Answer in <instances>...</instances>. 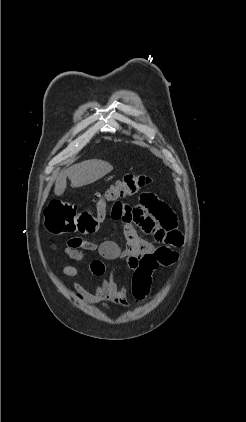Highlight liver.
<instances>
[{
  "instance_id": "obj_1",
  "label": "liver",
  "mask_w": 246,
  "mask_h": 422,
  "mask_svg": "<svg viewBox=\"0 0 246 422\" xmlns=\"http://www.w3.org/2000/svg\"><path fill=\"white\" fill-rule=\"evenodd\" d=\"M112 170V165L97 159L86 160L75 164L60 173L55 182L54 192L57 196L64 193L67 185V177L70 179L73 187H82L94 183Z\"/></svg>"
}]
</instances>
